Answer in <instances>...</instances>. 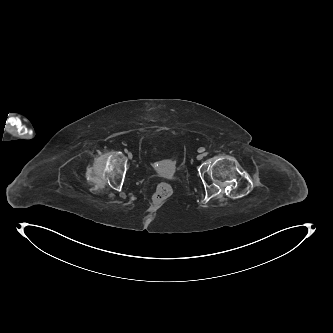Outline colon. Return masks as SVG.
Instances as JSON below:
<instances>
[{"mask_svg": "<svg viewBox=\"0 0 333 333\" xmlns=\"http://www.w3.org/2000/svg\"><path fill=\"white\" fill-rule=\"evenodd\" d=\"M172 194L173 189L169 184H159L152 196L153 205L157 207L163 205L172 196Z\"/></svg>", "mask_w": 333, "mask_h": 333, "instance_id": "1", "label": "colon"}]
</instances>
